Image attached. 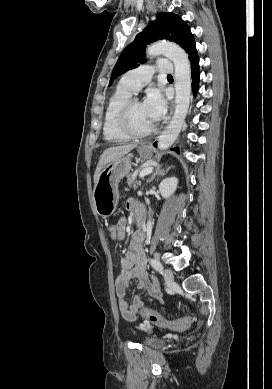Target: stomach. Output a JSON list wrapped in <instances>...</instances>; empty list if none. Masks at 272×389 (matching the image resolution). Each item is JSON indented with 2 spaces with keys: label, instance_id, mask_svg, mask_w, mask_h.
Returning <instances> with one entry per match:
<instances>
[{
  "label": "stomach",
  "instance_id": "1",
  "mask_svg": "<svg viewBox=\"0 0 272 389\" xmlns=\"http://www.w3.org/2000/svg\"><path fill=\"white\" fill-rule=\"evenodd\" d=\"M138 153L143 159H150L153 150L150 146L142 145ZM131 169V154H126L108 164L101 170L94 187L93 199L97 214L103 218L112 215L118 205V184Z\"/></svg>",
  "mask_w": 272,
  "mask_h": 389
}]
</instances>
